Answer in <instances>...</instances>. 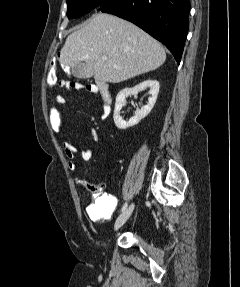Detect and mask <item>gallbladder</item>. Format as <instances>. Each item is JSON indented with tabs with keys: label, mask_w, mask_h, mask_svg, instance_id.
Returning a JSON list of instances; mask_svg holds the SVG:
<instances>
[{
	"label": "gallbladder",
	"mask_w": 240,
	"mask_h": 287,
	"mask_svg": "<svg viewBox=\"0 0 240 287\" xmlns=\"http://www.w3.org/2000/svg\"><path fill=\"white\" fill-rule=\"evenodd\" d=\"M71 74L78 79H88L93 76V70L86 63H78L71 67Z\"/></svg>",
	"instance_id": "bac80fb5"
}]
</instances>
